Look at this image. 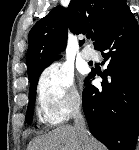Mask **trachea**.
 <instances>
[{"label":"trachea","mask_w":139,"mask_h":150,"mask_svg":"<svg viewBox=\"0 0 139 150\" xmlns=\"http://www.w3.org/2000/svg\"><path fill=\"white\" fill-rule=\"evenodd\" d=\"M87 38H89V39H90V35H88V36H87Z\"/></svg>","instance_id":"obj_1"}]
</instances>
